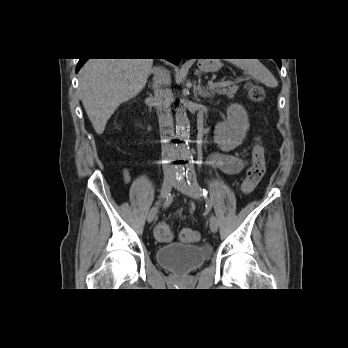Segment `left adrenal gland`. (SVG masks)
I'll list each match as a JSON object with an SVG mask.
<instances>
[{
	"label": "left adrenal gland",
	"instance_id": "obj_1",
	"mask_svg": "<svg viewBox=\"0 0 348 348\" xmlns=\"http://www.w3.org/2000/svg\"><path fill=\"white\" fill-rule=\"evenodd\" d=\"M196 94L200 95L203 98H210L212 96V93H211V91H209V89H205L204 87H202L200 78L198 80V86L196 88Z\"/></svg>",
	"mask_w": 348,
	"mask_h": 348
}]
</instances>
